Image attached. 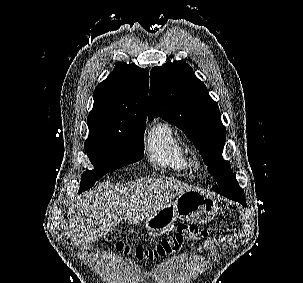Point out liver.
<instances>
[{
  "label": "liver",
  "instance_id": "obj_1",
  "mask_svg": "<svg viewBox=\"0 0 303 283\" xmlns=\"http://www.w3.org/2000/svg\"><path fill=\"white\" fill-rule=\"evenodd\" d=\"M192 190L176 180L153 179L118 188L102 185L84 193L70 208L69 227L82 244H91L122 220L138 224L160 211L179 195Z\"/></svg>",
  "mask_w": 303,
  "mask_h": 283
}]
</instances>
